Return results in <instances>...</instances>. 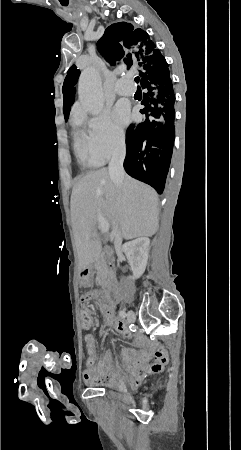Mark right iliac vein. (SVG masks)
Segmentation results:
<instances>
[{
	"label": "right iliac vein",
	"instance_id": "right-iliac-vein-1",
	"mask_svg": "<svg viewBox=\"0 0 241 450\" xmlns=\"http://www.w3.org/2000/svg\"><path fill=\"white\" fill-rule=\"evenodd\" d=\"M127 321L133 323L135 321V314L133 311H129L127 314Z\"/></svg>",
	"mask_w": 241,
	"mask_h": 450
}]
</instances>
